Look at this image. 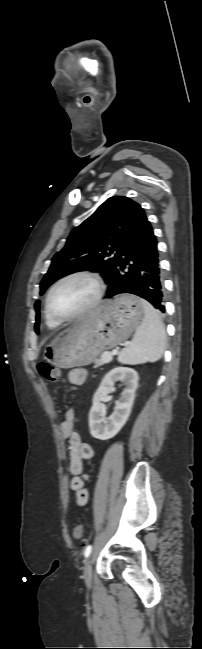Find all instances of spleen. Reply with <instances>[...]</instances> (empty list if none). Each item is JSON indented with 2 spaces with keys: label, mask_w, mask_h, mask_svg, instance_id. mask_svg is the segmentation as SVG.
Wrapping results in <instances>:
<instances>
[{
  "label": "spleen",
  "mask_w": 202,
  "mask_h": 649,
  "mask_svg": "<svg viewBox=\"0 0 202 649\" xmlns=\"http://www.w3.org/2000/svg\"><path fill=\"white\" fill-rule=\"evenodd\" d=\"M144 318L137 327L132 342L118 355L121 364L155 362L165 350L166 334L158 311L146 300H142Z\"/></svg>",
  "instance_id": "3e777b00"
}]
</instances>
